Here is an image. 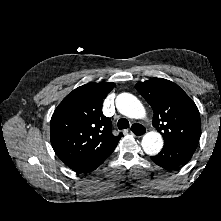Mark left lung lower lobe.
<instances>
[{
  "mask_svg": "<svg viewBox=\"0 0 221 221\" xmlns=\"http://www.w3.org/2000/svg\"><path fill=\"white\" fill-rule=\"evenodd\" d=\"M198 145V141H188L184 144H164L162 151L151 156L153 162L167 170H174L184 166L192 157Z\"/></svg>",
  "mask_w": 221,
  "mask_h": 221,
  "instance_id": "0a47b994",
  "label": "left lung lower lobe"
}]
</instances>
